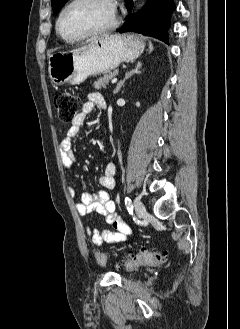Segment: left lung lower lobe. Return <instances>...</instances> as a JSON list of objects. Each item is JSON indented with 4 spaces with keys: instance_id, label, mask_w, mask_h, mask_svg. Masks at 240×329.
Segmentation results:
<instances>
[{
    "instance_id": "obj_1",
    "label": "left lung lower lobe",
    "mask_w": 240,
    "mask_h": 329,
    "mask_svg": "<svg viewBox=\"0 0 240 329\" xmlns=\"http://www.w3.org/2000/svg\"><path fill=\"white\" fill-rule=\"evenodd\" d=\"M126 4L130 14L118 32H137L168 42L167 29L171 12L175 9L173 0H148L146 10L136 14L132 13L133 1L126 0Z\"/></svg>"
}]
</instances>
